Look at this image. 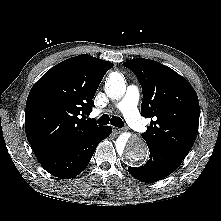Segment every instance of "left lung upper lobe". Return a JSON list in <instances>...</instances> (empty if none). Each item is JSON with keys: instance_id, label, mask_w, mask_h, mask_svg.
<instances>
[{"instance_id": "5c2ea615", "label": "left lung upper lobe", "mask_w": 221, "mask_h": 221, "mask_svg": "<svg viewBox=\"0 0 221 221\" xmlns=\"http://www.w3.org/2000/svg\"><path fill=\"white\" fill-rule=\"evenodd\" d=\"M123 65L142 86L143 117L153 118L143 139L147 145L184 159L198 133L200 107L195 90L184 77L157 61L137 58Z\"/></svg>"}]
</instances>
